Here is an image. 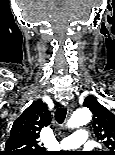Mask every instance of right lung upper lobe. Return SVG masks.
Instances as JSON below:
<instances>
[{
	"mask_svg": "<svg viewBox=\"0 0 115 155\" xmlns=\"http://www.w3.org/2000/svg\"><path fill=\"white\" fill-rule=\"evenodd\" d=\"M51 123V114L42 100L34 101L13 123L11 135L2 155H46L38 138L43 127Z\"/></svg>",
	"mask_w": 115,
	"mask_h": 155,
	"instance_id": "right-lung-upper-lobe-1",
	"label": "right lung upper lobe"
}]
</instances>
